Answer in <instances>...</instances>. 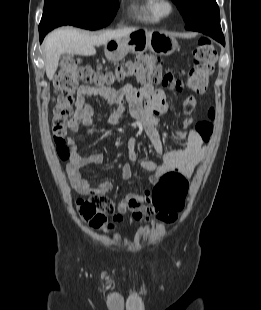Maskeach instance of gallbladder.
<instances>
[{
    "mask_svg": "<svg viewBox=\"0 0 261 310\" xmlns=\"http://www.w3.org/2000/svg\"><path fill=\"white\" fill-rule=\"evenodd\" d=\"M62 60L63 61H72L73 57L70 54H63L62 55Z\"/></svg>",
    "mask_w": 261,
    "mask_h": 310,
    "instance_id": "gallbladder-1",
    "label": "gallbladder"
}]
</instances>
